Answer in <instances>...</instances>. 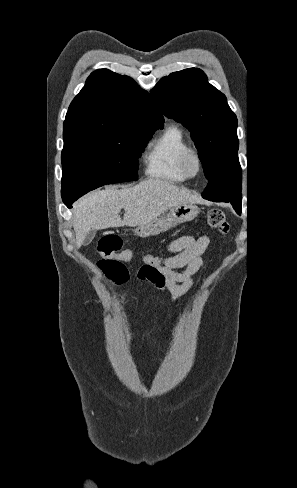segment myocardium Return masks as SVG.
I'll use <instances>...</instances> for the list:
<instances>
[{
	"label": "myocardium",
	"instance_id": "1",
	"mask_svg": "<svg viewBox=\"0 0 297 488\" xmlns=\"http://www.w3.org/2000/svg\"><path fill=\"white\" fill-rule=\"evenodd\" d=\"M191 159H195L197 162V168L195 171H192L190 168ZM180 167L184 175L189 179L199 176L203 168V160L199 151L192 147L185 150L180 159Z\"/></svg>",
	"mask_w": 297,
	"mask_h": 488
}]
</instances>
